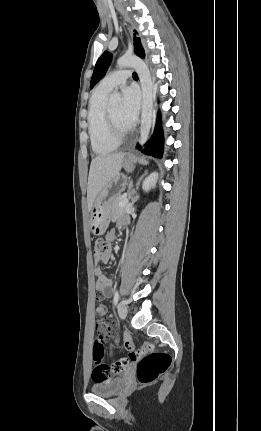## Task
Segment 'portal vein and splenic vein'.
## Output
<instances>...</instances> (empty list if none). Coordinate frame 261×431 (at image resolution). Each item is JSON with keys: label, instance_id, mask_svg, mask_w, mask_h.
Wrapping results in <instances>:
<instances>
[{"label": "portal vein and splenic vein", "instance_id": "portal-vein-and-splenic-vein-1", "mask_svg": "<svg viewBox=\"0 0 261 431\" xmlns=\"http://www.w3.org/2000/svg\"><path fill=\"white\" fill-rule=\"evenodd\" d=\"M129 200L128 198H124L120 203L119 206L120 207H124L126 204H128Z\"/></svg>", "mask_w": 261, "mask_h": 431}]
</instances>
